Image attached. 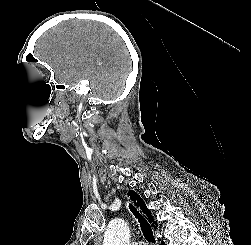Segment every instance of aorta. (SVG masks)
I'll use <instances>...</instances> for the list:
<instances>
[{
	"mask_svg": "<svg viewBox=\"0 0 251 245\" xmlns=\"http://www.w3.org/2000/svg\"><path fill=\"white\" fill-rule=\"evenodd\" d=\"M103 245H130V231L122 219H113L107 226Z\"/></svg>",
	"mask_w": 251,
	"mask_h": 245,
	"instance_id": "obj_1",
	"label": "aorta"
}]
</instances>
